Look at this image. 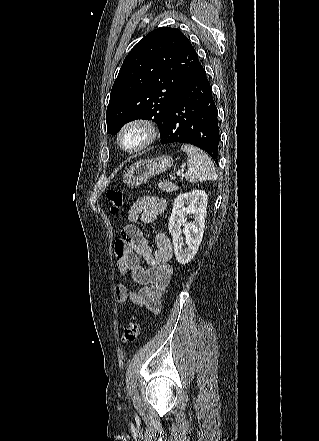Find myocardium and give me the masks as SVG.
<instances>
[{"mask_svg":"<svg viewBox=\"0 0 319 441\" xmlns=\"http://www.w3.org/2000/svg\"><path fill=\"white\" fill-rule=\"evenodd\" d=\"M134 130L141 133V141L132 147L125 144V136ZM158 137V127L150 119L134 118L127 121L119 130L117 134V141L120 148L130 154L138 153L148 146H150Z\"/></svg>","mask_w":319,"mask_h":441,"instance_id":"obj_1","label":"myocardium"}]
</instances>
